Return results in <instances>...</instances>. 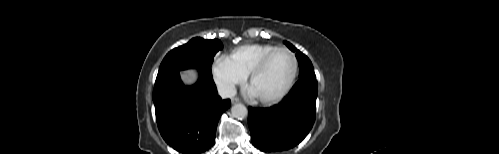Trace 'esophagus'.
I'll return each mask as SVG.
<instances>
[{"label":"esophagus","mask_w":499,"mask_h":154,"mask_svg":"<svg viewBox=\"0 0 499 154\" xmlns=\"http://www.w3.org/2000/svg\"><path fill=\"white\" fill-rule=\"evenodd\" d=\"M231 102H232V104H236V103H239V102H240V99H239V98H237V97H235V98H232V99H231Z\"/></svg>","instance_id":"obj_1"}]
</instances>
